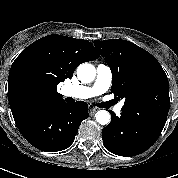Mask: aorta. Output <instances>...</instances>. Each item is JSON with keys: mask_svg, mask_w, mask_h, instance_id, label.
Listing matches in <instances>:
<instances>
[{"mask_svg": "<svg viewBox=\"0 0 178 178\" xmlns=\"http://www.w3.org/2000/svg\"><path fill=\"white\" fill-rule=\"evenodd\" d=\"M96 69L92 64L83 63L77 68V77L82 83H90L95 79ZM96 121L101 125L110 123V114L106 110H99L95 114Z\"/></svg>", "mask_w": 178, "mask_h": 178, "instance_id": "aorta-1", "label": "aorta"}]
</instances>
